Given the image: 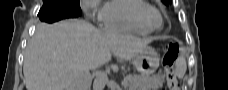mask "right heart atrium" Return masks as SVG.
Here are the masks:
<instances>
[{
  "mask_svg": "<svg viewBox=\"0 0 228 90\" xmlns=\"http://www.w3.org/2000/svg\"><path fill=\"white\" fill-rule=\"evenodd\" d=\"M82 6L84 8V12L87 14V16L91 19H95L96 15L99 20H102V10H100L99 0H83ZM96 14V15H95Z\"/></svg>",
  "mask_w": 228,
  "mask_h": 90,
  "instance_id": "right-heart-atrium-1",
  "label": "right heart atrium"
}]
</instances>
